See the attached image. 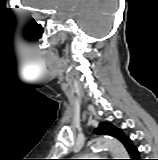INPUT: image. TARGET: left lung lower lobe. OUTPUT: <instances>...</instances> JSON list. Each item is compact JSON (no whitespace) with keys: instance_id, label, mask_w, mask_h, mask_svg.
I'll return each instance as SVG.
<instances>
[{"instance_id":"left-lung-lower-lobe-1","label":"left lung lower lobe","mask_w":158,"mask_h":160,"mask_svg":"<svg viewBox=\"0 0 158 160\" xmlns=\"http://www.w3.org/2000/svg\"><path fill=\"white\" fill-rule=\"evenodd\" d=\"M122 143L125 145L126 149L128 150L131 156V160H142L139 156V152L137 148L133 145L132 140L130 138L126 137Z\"/></svg>"}]
</instances>
